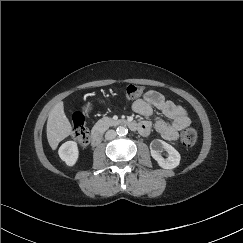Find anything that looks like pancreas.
<instances>
[{
    "instance_id": "1",
    "label": "pancreas",
    "mask_w": 243,
    "mask_h": 243,
    "mask_svg": "<svg viewBox=\"0 0 243 243\" xmlns=\"http://www.w3.org/2000/svg\"><path fill=\"white\" fill-rule=\"evenodd\" d=\"M115 121L109 117H103L102 119L98 120L95 124L94 128L99 131H105L110 126H113Z\"/></svg>"
}]
</instances>
